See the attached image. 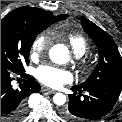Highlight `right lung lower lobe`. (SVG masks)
Returning a JSON list of instances; mask_svg holds the SVG:
<instances>
[{
	"label": "right lung lower lobe",
	"instance_id": "1",
	"mask_svg": "<svg viewBox=\"0 0 122 122\" xmlns=\"http://www.w3.org/2000/svg\"><path fill=\"white\" fill-rule=\"evenodd\" d=\"M15 75L25 78L19 89H13L11 85ZM39 91L40 85L34 77L1 66V122H21L26 113L27 97Z\"/></svg>",
	"mask_w": 122,
	"mask_h": 122
}]
</instances>
